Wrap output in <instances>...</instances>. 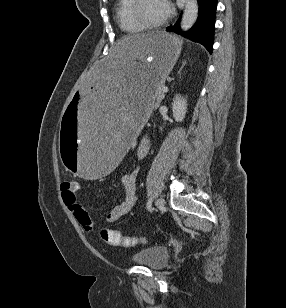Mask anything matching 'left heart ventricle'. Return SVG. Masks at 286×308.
<instances>
[{"label":"left heart ventricle","mask_w":286,"mask_h":308,"mask_svg":"<svg viewBox=\"0 0 286 308\" xmlns=\"http://www.w3.org/2000/svg\"><path fill=\"white\" fill-rule=\"evenodd\" d=\"M140 12L147 22L156 23L166 17L168 7L165 0H144Z\"/></svg>","instance_id":"1"}]
</instances>
